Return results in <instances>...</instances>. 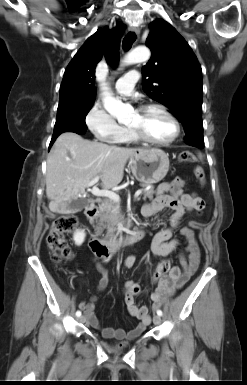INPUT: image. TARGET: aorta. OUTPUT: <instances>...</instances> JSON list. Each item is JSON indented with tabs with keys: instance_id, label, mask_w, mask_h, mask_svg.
Returning <instances> with one entry per match:
<instances>
[{
	"instance_id": "aorta-1",
	"label": "aorta",
	"mask_w": 247,
	"mask_h": 385,
	"mask_svg": "<svg viewBox=\"0 0 247 385\" xmlns=\"http://www.w3.org/2000/svg\"><path fill=\"white\" fill-rule=\"evenodd\" d=\"M150 50L146 47H137L132 50L123 60L124 65L140 63L149 60ZM104 108L113 116L122 119L131 112V107L122 101L115 99L111 93L107 92L103 99Z\"/></svg>"
}]
</instances>
